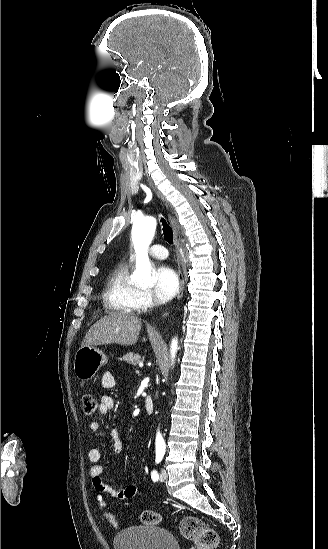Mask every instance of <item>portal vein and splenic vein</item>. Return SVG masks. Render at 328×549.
<instances>
[{
	"mask_svg": "<svg viewBox=\"0 0 328 549\" xmlns=\"http://www.w3.org/2000/svg\"><path fill=\"white\" fill-rule=\"evenodd\" d=\"M139 367H143V363H139Z\"/></svg>",
	"mask_w": 328,
	"mask_h": 549,
	"instance_id": "portal-vein-and-splenic-vein-1",
	"label": "portal vein and splenic vein"
}]
</instances>
